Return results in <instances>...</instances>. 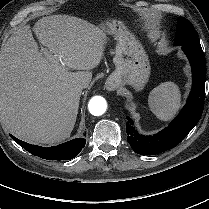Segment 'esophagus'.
Returning <instances> with one entry per match:
<instances>
[{"label": "esophagus", "instance_id": "esophagus-1", "mask_svg": "<svg viewBox=\"0 0 209 209\" xmlns=\"http://www.w3.org/2000/svg\"><path fill=\"white\" fill-rule=\"evenodd\" d=\"M105 86H106V89L109 91H112L115 89V86L109 80L106 82Z\"/></svg>", "mask_w": 209, "mask_h": 209}]
</instances>
